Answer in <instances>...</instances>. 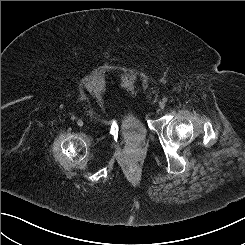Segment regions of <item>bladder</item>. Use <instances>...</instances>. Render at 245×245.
<instances>
[{
  "mask_svg": "<svg viewBox=\"0 0 245 245\" xmlns=\"http://www.w3.org/2000/svg\"><path fill=\"white\" fill-rule=\"evenodd\" d=\"M122 133L133 144L143 143L149 137L147 127L135 116H129L124 120Z\"/></svg>",
  "mask_w": 245,
  "mask_h": 245,
  "instance_id": "31cf9c89",
  "label": "bladder"
}]
</instances>
